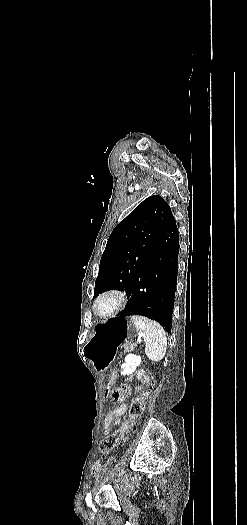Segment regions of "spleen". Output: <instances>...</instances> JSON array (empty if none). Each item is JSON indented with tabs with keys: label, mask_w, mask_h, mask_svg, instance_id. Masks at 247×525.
Wrapping results in <instances>:
<instances>
[{
	"label": "spleen",
	"mask_w": 247,
	"mask_h": 525,
	"mask_svg": "<svg viewBox=\"0 0 247 525\" xmlns=\"http://www.w3.org/2000/svg\"><path fill=\"white\" fill-rule=\"evenodd\" d=\"M131 321H134L137 331L143 335L146 345V357H148L150 361H155V363L162 361L165 357L167 347L166 333L163 327H161L159 323L147 319V317H138V315H133Z\"/></svg>",
	"instance_id": "1"
}]
</instances>
